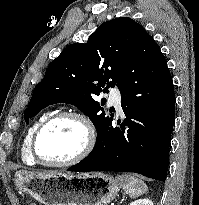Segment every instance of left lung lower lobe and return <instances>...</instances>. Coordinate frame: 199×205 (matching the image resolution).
I'll list each match as a JSON object with an SVG mask.
<instances>
[{"instance_id": "0a47b994", "label": "left lung lower lobe", "mask_w": 199, "mask_h": 205, "mask_svg": "<svg viewBox=\"0 0 199 205\" xmlns=\"http://www.w3.org/2000/svg\"><path fill=\"white\" fill-rule=\"evenodd\" d=\"M126 116L97 135L92 152L68 171L134 172L165 181L175 93L167 62L154 39L143 33L119 87Z\"/></svg>"}]
</instances>
